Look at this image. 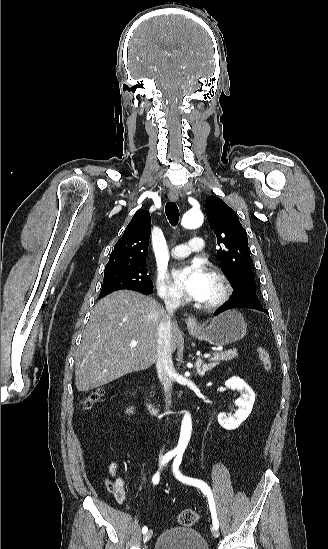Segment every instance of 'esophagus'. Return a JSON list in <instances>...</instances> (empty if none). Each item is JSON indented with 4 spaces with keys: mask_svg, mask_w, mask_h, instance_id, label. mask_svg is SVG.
<instances>
[{
    "mask_svg": "<svg viewBox=\"0 0 328 549\" xmlns=\"http://www.w3.org/2000/svg\"><path fill=\"white\" fill-rule=\"evenodd\" d=\"M168 198L171 202H176L178 200V192L176 189H171L168 192ZM188 330H196L198 328V321L193 316H188L185 319Z\"/></svg>",
    "mask_w": 328,
    "mask_h": 549,
    "instance_id": "1",
    "label": "esophagus"
}]
</instances>
